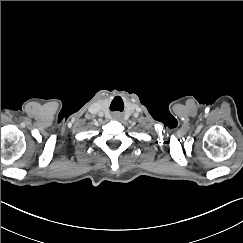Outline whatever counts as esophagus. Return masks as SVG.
Here are the masks:
<instances>
[{
	"label": "esophagus",
	"mask_w": 243,
	"mask_h": 243,
	"mask_svg": "<svg viewBox=\"0 0 243 243\" xmlns=\"http://www.w3.org/2000/svg\"><path fill=\"white\" fill-rule=\"evenodd\" d=\"M114 118L119 120L120 119V116L119 115H114Z\"/></svg>",
	"instance_id": "obj_1"
}]
</instances>
